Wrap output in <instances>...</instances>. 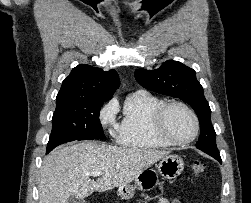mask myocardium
I'll list each match as a JSON object with an SVG mask.
<instances>
[{
	"label": "myocardium",
	"mask_w": 251,
	"mask_h": 203,
	"mask_svg": "<svg viewBox=\"0 0 251 203\" xmlns=\"http://www.w3.org/2000/svg\"><path fill=\"white\" fill-rule=\"evenodd\" d=\"M174 106H179L185 109L190 114V116L192 117L194 121V131L192 135L187 139H183V140L175 139L171 137L165 130L166 114L168 110ZM151 129H152L153 134L158 139H160L161 141L169 145H186L193 142L198 136L199 130H200V122H199V118L196 112L188 104L182 101L172 100V101L164 102L154 111L152 115V120H151Z\"/></svg>",
	"instance_id": "obj_1"
}]
</instances>
